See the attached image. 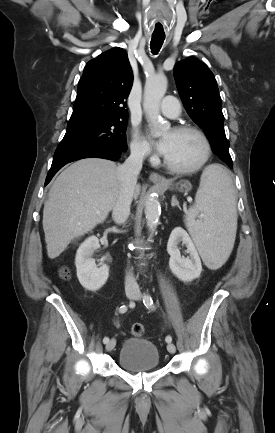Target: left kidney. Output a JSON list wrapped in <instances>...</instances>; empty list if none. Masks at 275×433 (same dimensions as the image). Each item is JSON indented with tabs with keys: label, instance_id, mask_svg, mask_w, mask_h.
I'll list each match as a JSON object with an SVG mask.
<instances>
[{
	"label": "left kidney",
	"instance_id": "1",
	"mask_svg": "<svg viewBox=\"0 0 275 433\" xmlns=\"http://www.w3.org/2000/svg\"><path fill=\"white\" fill-rule=\"evenodd\" d=\"M180 242L186 245L189 257L181 256L178 248ZM167 252L170 255V269L178 279L188 282L200 276L202 271L200 257L193 241L183 228L176 227L173 229L167 243Z\"/></svg>",
	"mask_w": 275,
	"mask_h": 433
}]
</instances>
